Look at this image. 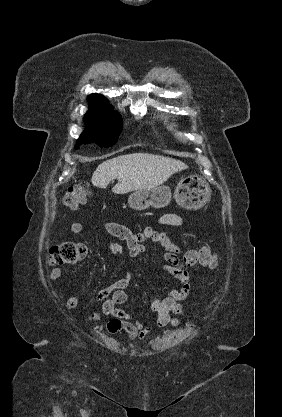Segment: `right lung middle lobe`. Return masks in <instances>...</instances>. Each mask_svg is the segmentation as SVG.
Returning <instances> with one entry per match:
<instances>
[{
	"label": "right lung middle lobe",
	"instance_id": "1",
	"mask_svg": "<svg viewBox=\"0 0 282 417\" xmlns=\"http://www.w3.org/2000/svg\"><path fill=\"white\" fill-rule=\"evenodd\" d=\"M83 120L86 129L78 143L95 142L101 147H110L117 142L123 127L121 116L106 100L89 101V111Z\"/></svg>",
	"mask_w": 282,
	"mask_h": 417
}]
</instances>
